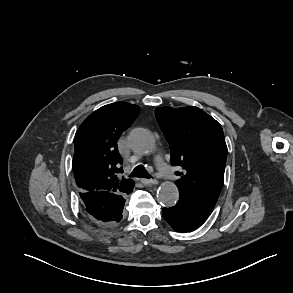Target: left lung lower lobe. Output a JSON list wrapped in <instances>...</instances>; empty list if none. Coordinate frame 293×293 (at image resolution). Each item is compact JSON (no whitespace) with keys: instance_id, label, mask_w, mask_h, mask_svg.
<instances>
[{"instance_id":"left-lung-lower-lobe-1","label":"left lung lower lobe","mask_w":293,"mask_h":293,"mask_svg":"<svg viewBox=\"0 0 293 293\" xmlns=\"http://www.w3.org/2000/svg\"><path fill=\"white\" fill-rule=\"evenodd\" d=\"M211 212L197 203L182 198H179L175 206L162 210L163 217L168 224L181 233L200 227Z\"/></svg>"}]
</instances>
